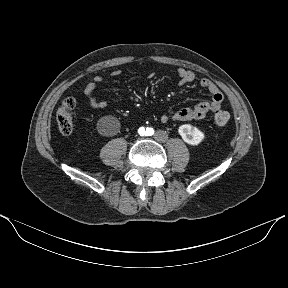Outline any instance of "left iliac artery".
Instances as JSON below:
<instances>
[{
    "instance_id": "44dca946",
    "label": "left iliac artery",
    "mask_w": 288,
    "mask_h": 288,
    "mask_svg": "<svg viewBox=\"0 0 288 288\" xmlns=\"http://www.w3.org/2000/svg\"><path fill=\"white\" fill-rule=\"evenodd\" d=\"M153 134H154V130L152 128H149L148 135H153Z\"/></svg>"
}]
</instances>
